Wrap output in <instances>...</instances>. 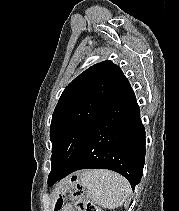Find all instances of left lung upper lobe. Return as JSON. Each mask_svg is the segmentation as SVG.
I'll list each match as a JSON object with an SVG mask.
<instances>
[{"mask_svg":"<svg viewBox=\"0 0 179 211\" xmlns=\"http://www.w3.org/2000/svg\"><path fill=\"white\" fill-rule=\"evenodd\" d=\"M127 82L120 67L107 60L91 66L65 88L52 115L48 179L67 169L100 115Z\"/></svg>","mask_w":179,"mask_h":211,"instance_id":"5c2ea615","label":"left lung upper lobe"}]
</instances>
